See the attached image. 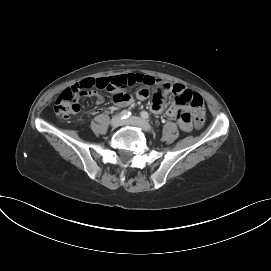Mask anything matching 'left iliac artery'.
Listing matches in <instances>:
<instances>
[{"mask_svg":"<svg viewBox=\"0 0 271 271\" xmlns=\"http://www.w3.org/2000/svg\"><path fill=\"white\" fill-rule=\"evenodd\" d=\"M141 117H142L143 119L148 120V121H149V119H150V116H149L148 112H146V111H142V112H141Z\"/></svg>","mask_w":271,"mask_h":271,"instance_id":"1","label":"left iliac artery"}]
</instances>
